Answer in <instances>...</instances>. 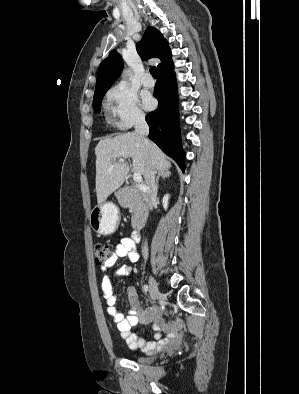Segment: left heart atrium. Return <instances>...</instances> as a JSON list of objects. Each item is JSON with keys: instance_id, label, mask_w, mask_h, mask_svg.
<instances>
[{"instance_id": "1", "label": "left heart atrium", "mask_w": 299, "mask_h": 394, "mask_svg": "<svg viewBox=\"0 0 299 394\" xmlns=\"http://www.w3.org/2000/svg\"><path fill=\"white\" fill-rule=\"evenodd\" d=\"M143 106L146 109L151 110L155 106L154 99L148 94L143 95Z\"/></svg>"}]
</instances>
